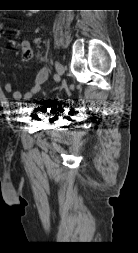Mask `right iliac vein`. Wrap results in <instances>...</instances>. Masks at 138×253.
<instances>
[{
  "label": "right iliac vein",
  "instance_id": "obj_1",
  "mask_svg": "<svg viewBox=\"0 0 138 253\" xmlns=\"http://www.w3.org/2000/svg\"><path fill=\"white\" fill-rule=\"evenodd\" d=\"M55 66H56V71H57L58 76H61L64 73V68L62 64L59 62H56Z\"/></svg>",
  "mask_w": 138,
  "mask_h": 253
}]
</instances>
